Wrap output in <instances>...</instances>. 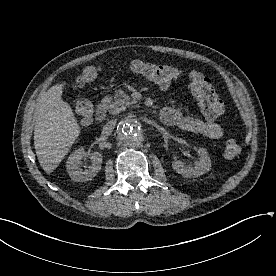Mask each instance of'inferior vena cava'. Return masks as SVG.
Listing matches in <instances>:
<instances>
[{
    "instance_id": "602c4592",
    "label": "inferior vena cava",
    "mask_w": 276,
    "mask_h": 276,
    "mask_svg": "<svg viewBox=\"0 0 276 276\" xmlns=\"http://www.w3.org/2000/svg\"><path fill=\"white\" fill-rule=\"evenodd\" d=\"M115 125H116V121L108 122L103 128V133L110 134L112 132V130L114 129Z\"/></svg>"
}]
</instances>
